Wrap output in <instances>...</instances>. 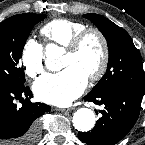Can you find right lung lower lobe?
Returning a JSON list of instances; mask_svg holds the SVG:
<instances>
[{"label":"right lung lower lobe","instance_id":"98d812e1","mask_svg":"<svg viewBox=\"0 0 145 145\" xmlns=\"http://www.w3.org/2000/svg\"><path fill=\"white\" fill-rule=\"evenodd\" d=\"M17 108L15 100H23ZM29 87L0 84V145H36L40 138L38 118L51 107L32 103Z\"/></svg>","mask_w":145,"mask_h":145}]
</instances>
